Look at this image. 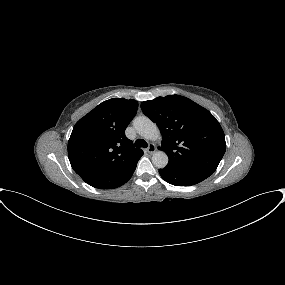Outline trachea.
Here are the masks:
<instances>
[{"instance_id": "3493384b", "label": "trachea", "mask_w": 285, "mask_h": 285, "mask_svg": "<svg viewBox=\"0 0 285 285\" xmlns=\"http://www.w3.org/2000/svg\"><path fill=\"white\" fill-rule=\"evenodd\" d=\"M135 147H148V144L145 140L143 139H137L135 141Z\"/></svg>"}]
</instances>
